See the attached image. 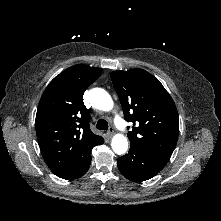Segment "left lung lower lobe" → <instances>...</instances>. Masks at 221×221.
Instances as JSON below:
<instances>
[{
	"mask_svg": "<svg viewBox=\"0 0 221 221\" xmlns=\"http://www.w3.org/2000/svg\"><path fill=\"white\" fill-rule=\"evenodd\" d=\"M167 163L168 160L135 146H130L128 154L117 160L118 169L122 175L134 182H141L154 177Z\"/></svg>",
	"mask_w": 221,
	"mask_h": 221,
	"instance_id": "obj_1",
	"label": "left lung lower lobe"
}]
</instances>
